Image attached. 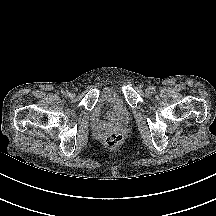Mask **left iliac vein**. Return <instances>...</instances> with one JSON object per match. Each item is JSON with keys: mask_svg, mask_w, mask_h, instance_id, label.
Returning a JSON list of instances; mask_svg holds the SVG:
<instances>
[{"mask_svg": "<svg viewBox=\"0 0 216 216\" xmlns=\"http://www.w3.org/2000/svg\"><path fill=\"white\" fill-rule=\"evenodd\" d=\"M146 94L150 95L151 93H153L152 91V86H149L145 89Z\"/></svg>", "mask_w": 216, "mask_h": 216, "instance_id": "4c4485c4", "label": "left iliac vein"}]
</instances>
